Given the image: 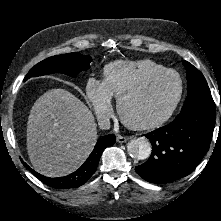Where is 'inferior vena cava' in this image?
I'll use <instances>...</instances> for the list:
<instances>
[{"label": "inferior vena cava", "mask_w": 221, "mask_h": 221, "mask_svg": "<svg viewBox=\"0 0 221 221\" xmlns=\"http://www.w3.org/2000/svg\"><path fill=\"white\" fill-rule=\"evenodd\" d=\"M99 127L103 130H107L110 128V120L105 117L99 120Z\"/></svg>", "instance_id": "602c4592"}]
</instances>
